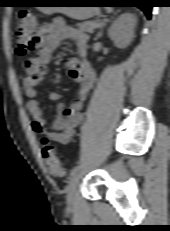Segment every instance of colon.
Returning <instances> with one entry per match:
<instances>
[{"mask_svg": "<svg viewBox=\"0 0 170 231\" xmlns=\"http://www.w3.org/2000/svg\"><path fill=\"white\" fill-rule=\"evenodd\" d=\"M15 28L17 35L16 53L19 56H24L33 52L38 46V36L36 34L37 22L30 10L23 9L18 13ZM40 150L50 173L56 177L64 176L65 170L47 136L41 139Z\"/></svg>", "mask_w": 170, "mask_h": 231, "instance_id": "colon-1", "label": "colon"}]
</instances>
